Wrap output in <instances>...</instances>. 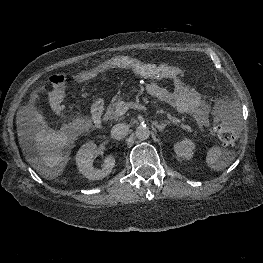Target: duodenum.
<instances>
[{
    "label": "duodenum",
    "instance_id": "duodenum-1",
    "mask_svg": "<svg viewBox=\"0 0 263 263\" xmlns=\"http://www.w3.org/2000/svg\"><path fill=\"white\" fill-rule=\"evenodd\" d=\"M91 115L94 125L98 128L101 127L103 115V103L101 101H96L92 104Z\"/></svg>",
    "mask_w": 263,
    "mask_h": 263
}]
</instances>
